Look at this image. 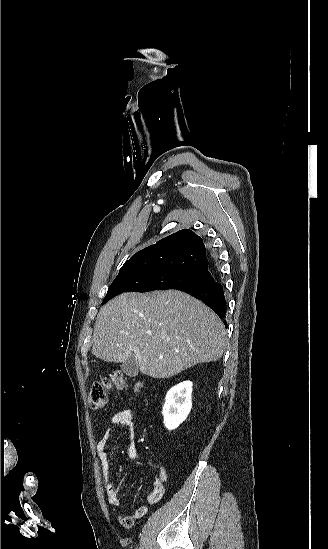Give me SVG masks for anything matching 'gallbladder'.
I'll return each instance as SVG.
<instances>
[{
  "instance_id": "gallbladder-1",
  "label": "gallbladder",
  "mask_w": 328,
  "mask_h": 549,
  "mask_svg": "<svg viewBox=\"0 0 328 549\" xmlns=\"http://www.w3.org/2000/svg\"><path fill=\"white\" fill-rule=\"evenodd\" d=\"M121 369L128 377H136L139 373L138 363L135 355H130L125 363H122Z\"/></svg>"
}]
</instances>
